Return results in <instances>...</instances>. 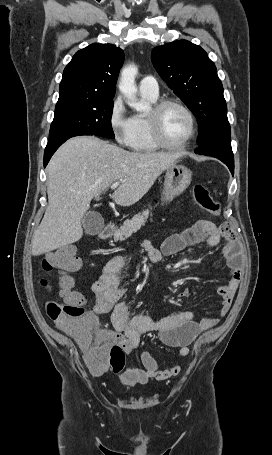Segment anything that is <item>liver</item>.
<instances>
[{
	"label": "liver",
	"mask_w": 272,
	"mask_h": 455,
	"mask_svg": "<svg viewBox=\"0 0 272 455\" xmlns=\"http://www.w3.org/2000/svg\"><path fill=\"white\" fill-rule=\"evenodd\" d=\"M179 153L129 152L94 136L66 141L48 166V206L32 239V255L72 244L83 236L82 218L93 198L120 181L113 200L120 206L138 202Z\"/></svg>",
	"instance_id": "liver-1"
}]
</instances>
